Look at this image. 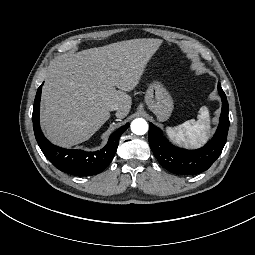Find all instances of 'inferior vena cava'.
I'll use <instances>...</instances> for the list:
<instances>
[{
    "instance_id": "602c4592",
    "label": "inferior vena cava",
    "mask_w": 255,
    "mask_h": 255,
    "mask_svg": "<svg viewBox=\"0 0 255 255\" xmlns=\"http://www.w3.org/2000/svg\"><path fill=\"white\" fill-rule=\"evenodd\" d=\"M119 109V104L118 103H113L109 105V110L114 111Z\"/></svg>"
}]
</instances>
